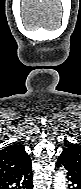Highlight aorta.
I'll use <instances>...</instances> for the list:
<instances>
[{
  "label": "aorta",
  "mask_w": 81,
  "mask_h": 189,
  "mask_svg": "<svg viewBox=\"0 0 81 189\" xmlns=\"http://www.w3.org/2000/svg\"><path fill=\"white\" fill-rule=\"evenodd\" d=\"M54 189H66V178L64 172L59 170L54 177Z\"/></svg>",
  "instance_id": "aorta-1"
}]
</instances>
